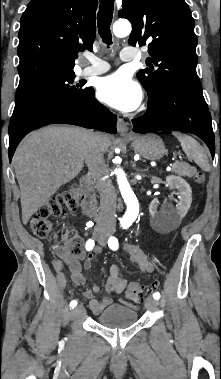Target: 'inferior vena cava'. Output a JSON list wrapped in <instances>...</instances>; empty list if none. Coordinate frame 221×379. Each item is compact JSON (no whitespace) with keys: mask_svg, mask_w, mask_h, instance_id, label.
Returning <instances> with one entry per match:
<instances>
[{"mask_svg":"<svg viewBox=\"0 0 221 379\" xmlns=\"http://www.w3.org/2000/svg\"><path fill=\"white\" fill-rule=\"evenodd\" d=\"M85 163L89 175L96 180L100 194V211L97 219L98 229L114 230L116 225V193L112 181L103 179L108 173L103 152L99 145L98 134L90 132L85 150Z\"/></svg>","mask_w":221,"mask_h":379,"instance_id":"1","label":"inferior vena cava"}]
</instances>
